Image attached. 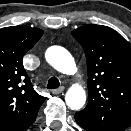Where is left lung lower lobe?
I'll return each instance as SVG.
<instances>
[{
	"label": "left lung lower lobe",
	"instance_id": "left-lung-lower-lobe-1",
	"mask_svg": "<svg viewBox=\"0 0 131 131\" xmlns=\"http://www.w3.org/2000/svg\"><path fill=\"white\" fill-rule=\"evenodd\" d=\"M75 120H76V122L81 126V127H83L84 129H86L87 131H92V130H90V129H87L85 126H84V124L82 123V121L80 120V118L75 114Z\"/></svg>",
	"mask_w": 131,
	"mask_h": 131
}]
</instances>
